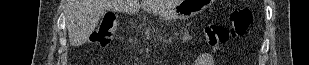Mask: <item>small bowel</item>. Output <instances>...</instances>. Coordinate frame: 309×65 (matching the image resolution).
Listing matches in <instances>:
<instances>
[{
	"label": "small bowel",
	"instance_id": "c3829d8e",
	"mask_svg": "<svg viewBox=\"0 0 309 65\" xmlns=\"http://www.w3.org/2000/svg\"><path fill=\"white\" fill-rule=\"evenodd\" d=\"M216 49H214L215 51ZM181 65H214L213 55L209 53L194 54L184 60Z\"/></svg>",
	"mask_w": 309,
	"mask_h": 65
}]
</instances>
